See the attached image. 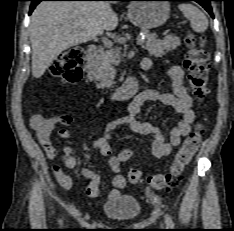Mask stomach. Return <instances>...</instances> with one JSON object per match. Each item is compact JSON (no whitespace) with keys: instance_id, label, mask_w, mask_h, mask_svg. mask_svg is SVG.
Masks as SVG:
<instances>
[{"instance_id":"0dacf381","label":"stomach","mask_w":234,"mask_h":231,"mask_svg":"<svg viewBox=\"0 0 234 231\" xmlns=\"http://www.w3.org/2000/svg\"><path fill=\"white\" fill-rule=\"evenodd\" d=\"M170 4L163 0H145L131 2L127 17L135 26L143 31L163 25L169 18Z\"/></svg>"}]
</instances>
